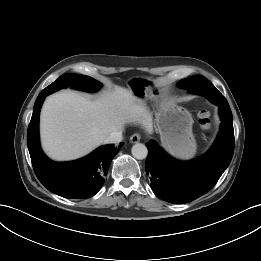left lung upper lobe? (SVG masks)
<instances>
[{"instance_id":"5c2ea615","label":"left lung upper lobe","mask_w":261,"mask_h":261,"mask_svg":"<svg viewBox=\"0 0 261 261\" xmlns=\"http://www.w3.org/2000/svg\"><path fill=\"white\" fill-rule=\"evenodd\" d=\"M206 80L205 77L201 75H195L186 79H182L178 82V86L185 89H192L197 85L198 82Z\"/></svg>"}]
</instances>
